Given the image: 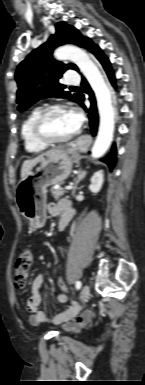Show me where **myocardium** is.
Instances as JSON below:
<instances>
[{"instance_id":"obj_1","label":"myocardium","mask_w":145,"mask_h":385,"mask_svg":"<svg viewBox=\"0 0 145 385\" xmlns=\"http://www.w3.org/2000/svg\"><path fill=\"white\" fill-rule=\"evenodd\" d=\"M58 110L68 111V108L63 104L49 105L40 110V112L38 113V115L36 116L33 122L32 133L34 138L46 146L67 143L73 140L74 138H76L80 133L79 128L73 134L64 138H52L46 133L45 131L46 119L51 113Z\"/></svg>"}]
</instances>
